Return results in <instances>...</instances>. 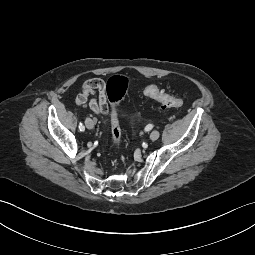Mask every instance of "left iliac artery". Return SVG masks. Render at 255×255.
<instances>
[{
	"label": "left iliac artery",
	"instance_id": "obj_1",
	"mask_svg": "<svg viewBox=\"0 0 255 255\" xmlns=\"http://www.w3.org/2000/svg\"><path fill=\"white\" fill-rule=\"evenodd\" d=\"M152 128H154V125H147V126L144 128V131H145V132H148V131L151 130Z\"/></svg>",
	"mask_w": 255,
	"mask_h": 255
}]
</instances>
